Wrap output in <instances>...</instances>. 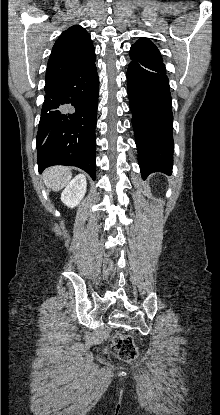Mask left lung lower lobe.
<instances>
[{"instance_id":"0a47b994","label":"left lung lower lobe","mask_w":220,"mask_h":415,"mask_svg":"<svg viewBox=\"0 0 220 415\" xmlns=\"http://www.w3.org/2000/svg\"><path fill=\"white\" fill-rule=\"evenodd\" d=\"M131 60L127 90L141 175L145 178L152 172L171 174L173 114L165 65L155 60Z\"/></svg>"}]
</instances>
